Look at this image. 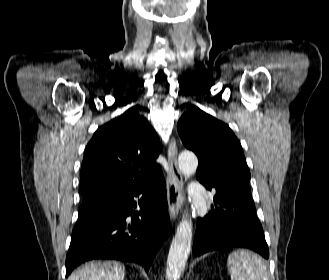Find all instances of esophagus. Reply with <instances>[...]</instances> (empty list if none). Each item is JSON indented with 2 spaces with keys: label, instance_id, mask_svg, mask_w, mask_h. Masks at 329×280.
Listing matches in <instances>:
<instances>
[{
  "label": "esophagus",
  "instance_id": "34e87169",
  "mask_svg": "<svg viewBox=\"0 0 329 280\" xmlns=\"http://www.w3.org/2000/svg\"><path fill=\"white\" fill-rule=\"evenodd\" d=\"M169 177L167 179L168 210L171 220H174L183 203V178L177 164V145L172 139L168 147Z\"/></svg>",
  "mask_w": 329,
  "mask_h": 280
}]
</instances>
